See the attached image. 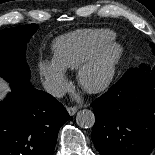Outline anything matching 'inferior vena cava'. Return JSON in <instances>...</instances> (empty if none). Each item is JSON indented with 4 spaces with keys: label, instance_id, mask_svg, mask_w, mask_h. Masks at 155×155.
<instances>
[{
    "label": "inferior vena cava",
    "instance_id": "1",
    "mask_svg": "<svg viewBox=\"0 0 155 155\" xmlns=\"http://www.w3.org/2000/svg\"><path fill=\"white\" fill-rule=\"evenodd\" d=\"M43 87L46 92L50 93L55 97H63L65 95V89L62 84L56 81H44Z\"/></svg>",
    "mask_w": 155,
    "mask_h": 155
}]
</instances>
